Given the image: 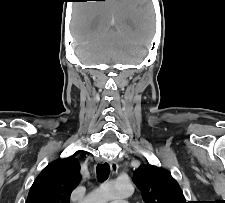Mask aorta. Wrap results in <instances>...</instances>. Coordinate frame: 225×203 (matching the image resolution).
Here are the masks:
<instances>
[{
  "label": "aorta",
  "mask_w": 225,
  "mask_h": 203,
  "mask_svg": "<svg viewBox=\"0 0 225 203\" xmlns=\"http://www.w3.org/2000/svg\"><path fill=\"white\" fill-rule=\"evenodd\" d=\"M133 185L129 181H108L93 190L84 200V203H108L112 200L130 196Z\"/></svg>",
  "instance_id": "762f6f07"
}]
</instances>
